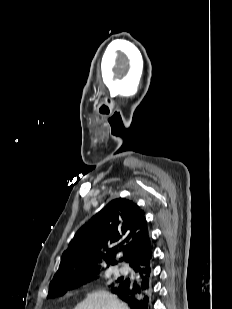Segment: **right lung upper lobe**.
Masks as SVG:
<instances>
[{"instance_id": "cb5924a9", "label": "right lung upper lobe", "mask_w": 232, "mask_h": 309, "mask_svg": "<svg viewBox=\"0 0 232 309\" xmlns=\"http://www.w3.org/2000/svg\"><path fill=\"white\" fill-rule=\"evenodd\" d=\"M118 255H122L119 261L129 265L152 256L144 212L133 201L123 198L112 200L76 232L50 287L99 272L102 263L107 267L115 265Z\"/></svg>"}]
</instances>
